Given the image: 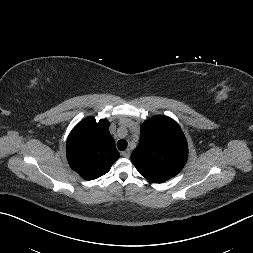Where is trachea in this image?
I'll use <instances>...</instances> for the list:
<instances>
[{"label": "trachea", "instance_id": "3493384b", "mask_svg": "<svg viewBox=\"0 0 253 253\" xmlns=\"http://www.w3.org/2000/svg\"><path fill=\"white\" fill-rule=\"evenodd\" d=\"M117 147L120 151H124L127 148V141L126 140H119L117 143Z\"/></svg>", "mask_w": 253, "mask_h": 253}]
</instances>
